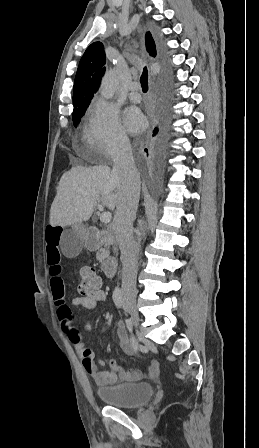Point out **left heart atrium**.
Wrapping results in <instances>:
<instances>
[{
	"label": "left heart atrium",
	"instance_id": "left-heart-atrium-1",
	"mask_svg": "<svg viewBox=\"0 0 259 448\" xmlns=\"http://www.w3.org/2000/svg\"><path fill=\"white\" fill-rule=\"evenodd\" d=\"M123 123L130 133H138L145 127V119L139 109L128 107L123 114Z\"/></svg>",
	"mask_w": 259,
	"mask_h": 448
}]
</instances>
